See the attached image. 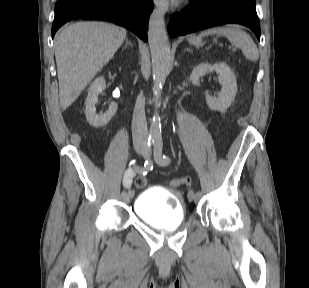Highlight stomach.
Masks as SVG:
<instances>
[{"instance_id":"obj_1","label":"stomach","mask_w":309,"mask_h":288,"mask_svg":"<svg viewBox=\"0 0 309 288\" xmlns=\"http://www.w3.org/2000/svg\"><path fill=\"white\" fill-rule=\"evenodd\" d=\"M188 42L193 44V45L199 46V45H201L202 40L199 37H195L194 35H191V36L188 37Z\"/></svg>"}]
</instances>
